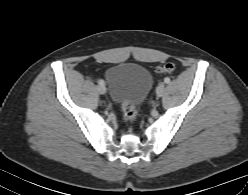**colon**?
<instances>
[{
	"label": "colon",
	"instance_id": "colon-1",
	"mask_svg": "<svg viewBox=\"0 0 248 195\" xmlns=\"http://www.w3.org/2000/svg\"><path fill=\"white\" fill-rule=\"evenodd\" d=\"M175 70V64L173 62H168L163 66L157 68L158 73H172ZM122 111L124 120L129 123L133 124L137 118V109L136 106L130 102H124L122 104Z\"/></svg>",
	"mask_w": 248,
	"mask_h": 195
}]
</instances>
